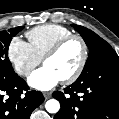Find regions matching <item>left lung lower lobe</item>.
<instances>
[{"label":"left lung lower lobe","instance_id":"1","mask_svg":"<svg viewBox=\"0 0 119 119\" xmlns=\"http://www.w3.org/2000/svg\"><path fill=\"white\" fill-rule=\"evenodd\" d=\"M53 97L61 104L54 119H119V62L92 70Z\"/></svg>","mask_w":119,"mask_h":119}]
</instances>
